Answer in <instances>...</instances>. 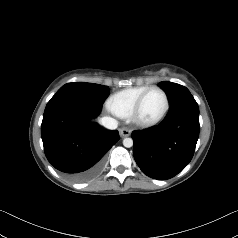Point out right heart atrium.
I'll return each mask as SVG.
<instances>
[{"mask_svg":"<svg viewBox=\"0 0 238 238\" xmlns=\"http://www.w3.org/2000/svg\"><path fill=\"white\" fill-rule=\"evenodd\" d=\"M106 107L108 109L109 112L113 113V114H116L115 111L113 110V108L111 107L109 101H107L106 103ZM117 115V114H116Z\"/></svg>","mask_w":238,"mask_h":238,"instance_id":"right-heart-atrium-1","label":"right heart atrium"}]
</instances>
